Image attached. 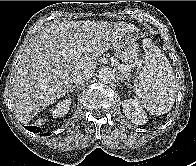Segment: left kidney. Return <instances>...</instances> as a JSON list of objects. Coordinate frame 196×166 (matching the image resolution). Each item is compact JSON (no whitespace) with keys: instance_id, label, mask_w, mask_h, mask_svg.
<instances>
[{"instance_id":"5707ae66","label":"left kidney","mask_w":196,"mask_h":166,"mask_svg":"<svg viewBox=\"0 0 196 166\" xmlns=\"http://www.w3.org/2000/svg\"><path fill=\"white\" fill-rule=\"evenodd\" d=\"M123 112L125 116L136 125H144L148 118L145 111L135 99H126L122 101Z\"/></svg>"}]
</instances>
